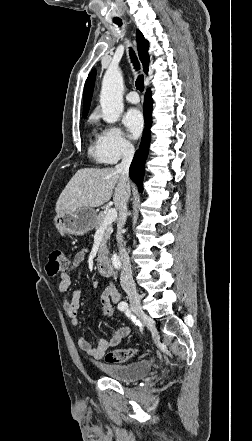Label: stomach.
<instances>
[{
    "label": "stomach",
    "mask_w": 252,
    "mask_h": 441,
    "mask_svg": "<svg viewBox=\"0 0 252 441\" xmlns=\"http://www.w3.org/2000/svg\"><path fill=\"white\" fill-rule=\"evenodd\" d=\"M96 211L81 208L73 212L57 213L54 224L61 235H83L94 228Z\"/></svg>",
    "instance_id": "0dacf381"
}]
</instances>
